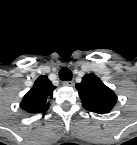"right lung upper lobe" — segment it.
Wrapping results in <instances>:
<instances>
[{"label": "right lung upper lobe", "instance_id": "obj_1", "mask_svg": "<svg viewBox=\"0 0 137 145\" xmlns=\"http://www.w3.org/2000/svg\"><path fill=\"white\" fill-rule=\"evenodd\" d=\"M55 88L47 76H40L24 96L21 108L29 114L46 112Z\"/></svg>", "mask_w": 137, "mask_h": 145}]
</instances>
